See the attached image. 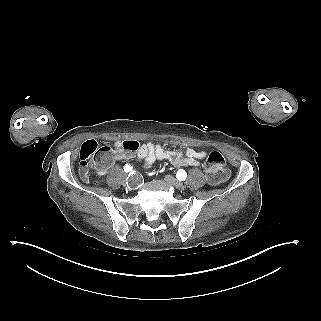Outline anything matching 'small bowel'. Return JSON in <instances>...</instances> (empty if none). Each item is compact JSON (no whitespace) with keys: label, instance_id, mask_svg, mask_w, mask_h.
Returning a JSON list of instances; mask_svg holds the SVG:
<instances>
[{"label":"small bowel","instance_id":"small-bowel-1","mask_svg":"<svg viewBox=\"0 0 321 321\" xmlns=\"http://www.w3.org/2000/svg\"><path fill=\"white\" fill-rule=\"evenodd\" d=\"M97 149L98 145L95 140H87L81 147L80 155L87 151H99L107 157V160L99 164L96 168V172L99 176L105 175L116 161L130 158L133 155L122 148V143L120 141H113L112 147L104 146L99 150ZM205 157L206 152L204 151H197L194 149H187L185 151H168L160 144L155 143L141 145L140 149L136 152V160L144 162L146 167L150 166L157 160H167L176 166H199L201 164V160ZM83 180L87 181L89 178H83Z\"/></svg>","mask_w":321,"mask_h":321}]
</instances>
